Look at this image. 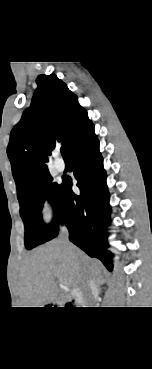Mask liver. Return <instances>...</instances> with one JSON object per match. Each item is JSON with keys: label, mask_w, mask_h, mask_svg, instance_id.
Listing matches in <instances>:
<instances>
[{"label": "liver", "mask_w": 152, "mask_h": 369, "mask_svg": "<svg viewBox=\"0 0 152 369\" xmlns=\"http://www.w3.org/2000/svg\"><path fill=\"white\" fill-rule=\"evenodd\" d=\"M100 263L77 247L70 252L58 238L28 255L20 273V300L23 307H45L58 296L56 280L68 288H82L88 277L100 274Z\"/></svg>", "instance_id": "obj_1"}]
</instances>
